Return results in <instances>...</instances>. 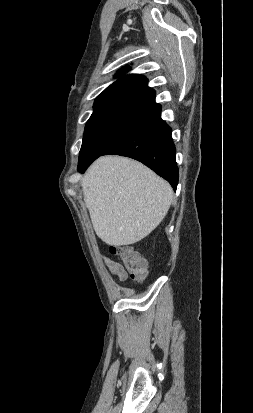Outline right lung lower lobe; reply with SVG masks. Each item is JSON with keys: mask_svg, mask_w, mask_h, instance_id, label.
I'll list each match as a JSON object with an SVG mask.
<instances>
[{"mask_svg": "<svg viewBox=\"0 0 253 413\" xmlns=\"http://www.w3.org/2000/svg\"><path fill=\"white\" fill-rule=\"evenodd\" d=\"M107 154L127 156L142 162L166 179L176 190L178 184L176 149L171 137V128L161 119L160 112L150 117L140 128L102 155ZM93 161L78 165V171L84 172Z\"/></svg>", "mask_w": 253, "mask_h": 413, "instance_id": "98d812e1", "label": "right lung lower lobe"}]
</instances>
